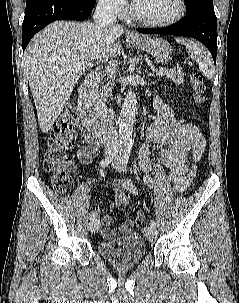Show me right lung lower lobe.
Listing matches in <instances>:
<instances>
[{"mask_svg":"<svg viewBox=\"0 0 239 303\" xmlns=\"http://www.w3.org/2000/svg\"><path fill=\"white\" fill-rule=\"evenodd\" d=\"M96 0H27L22 24V47L25 50L31 38L56 20L86 19Z\"/></svg>","mask_w":239,"mask_h":303,"instance_id":"obj_1","label":"right lung lower lobe"}]
</instances>
